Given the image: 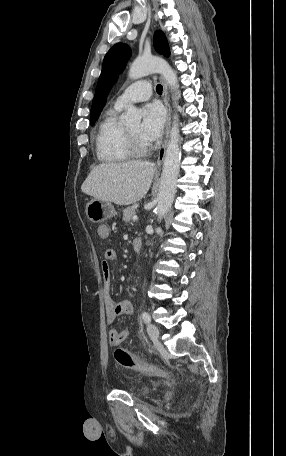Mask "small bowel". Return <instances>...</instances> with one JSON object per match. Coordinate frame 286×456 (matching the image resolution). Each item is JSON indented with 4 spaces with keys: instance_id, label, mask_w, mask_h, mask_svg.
Instances as JSON below:
<instances>
[{
    "instance_id": "c3829d8e",
    "label": "small bowel",
    "mask_w": 286,
    "mask_h": 456,
    "mask_svg": "<svg viewBox=\"0 0 286 456\" xmlns=\"http://www.w3.org/2000/svg\"><path fill=\"white\" fill-rule=\"evenodd\" d=\"M97 233L101 239H108L110 237V229L107 225H100L97 229ZM115 259L116 251L114 249H107L104 252V257L101 262L105 316L109 324H112L118 316L131 315L134 312V306L130 301L122 300L120 302H115L111 297L110 262L114 261ZM128 334L129 331L127 329H111L108 334L109 341L114 346L119 345L126 340Z\"/></svg>"
}]
</instances>
